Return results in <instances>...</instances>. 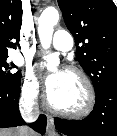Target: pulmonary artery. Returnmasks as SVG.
I'll return each instance as SVG.
<instances>
[{
    "label": "pulmonary artery",
    "instance_id": "e3ab8cb5",
    "mask_svg": "<svg viewBox=\"0 0 117 136\" xmlns=\"http://www.w3.org/2000/svg\"><path fill=\"white\" fill-rule=\"evenodd\" d=\"M52 47L58 51L66 52L73 47V37L64 30L55 32L52 41Z\"/></svg>",
    "mask_w": 117,
    "mask_h": 136
}]
</instances>
